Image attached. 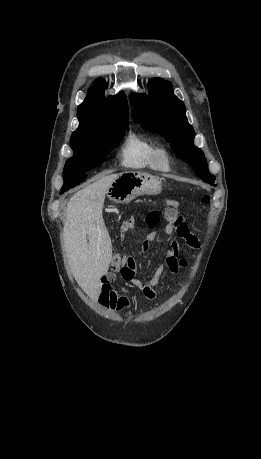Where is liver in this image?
<instances>
[{"mask_svg": "<svg viewBox=\"0 0 261 459\" xmlns=\"http://www.w3.org/2000/svg\"><path fill=\"white\" fill-rule=\"evenodd\" d=\"M118 174L100 175L67 204L64 246L73 275L91 297L101 293V277L112 259V243L103 220L105 195Z\"/></svg>", "mask_w": 261, "mask_h": 459, "instance_id": "obj_1", "label": "liver"}]
</instances>
